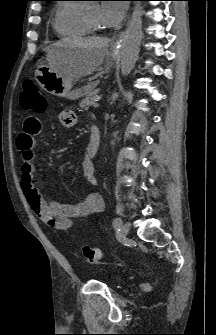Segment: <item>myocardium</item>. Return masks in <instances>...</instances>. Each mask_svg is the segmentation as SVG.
I'll return each instance as SVG.
<instances>
[{
	"label": "myocardium",
	"mask_w": 216,
	"mask_h": 335,
	"mask_svg": "<svg viewBox=\"0 0 216 335\" xmlns=\"http://www.w3.org/2000/svg\"><path fill=\"white\" fill-rule=\"evenodd\" d=\"M83 18H84V21H85L86 25L90 28L91 31H93V32H99V31H101V27L95 25V24L88 18L87 14H86L85 12H83Z\"/></svg>",
	"instance_id": "f54148a6"
}]
</instances>
